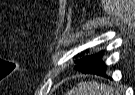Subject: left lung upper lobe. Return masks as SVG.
I'll use <instances>...</instances> for the list:
<instances>
[{
	"label": "left lung upper lobe",
	"instance_id": "obj_1",
	"mask_svg": "<svg viewBox=\"0 0 135 95\" xmlns=\"http://www.w3.org/2000/svg\"><path fill=\"white\" fill-rule=\"evenodd\" d=\"M88 58H89V56H86L82 59L75 61V63H77L75 68L78 70V69H81L82 67H84Z\"/></svg>",
	"mask_w": 135,
	"mask_h": 95
}]
</instances>
